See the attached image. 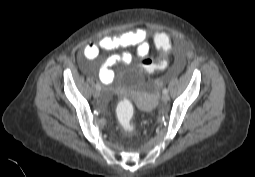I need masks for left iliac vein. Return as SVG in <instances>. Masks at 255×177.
Masks as SVG:
<instances>
[{"instance_id":"left-iliac-vein-1","label":"left iliac vein","mask_w":255,"mask_h":177,"mask_svg":"<svg viewBox=\"0 0 255 177\" xmlns=\"http://www.w3.org/2000/svg\"><path fill=\"white\" fill-rule=\"evenodd\" d=\"M169 99H170V97H169L168 94H163V95H162V101H163V102H167V101H169Z\"/></svg>"}]
</instances>
